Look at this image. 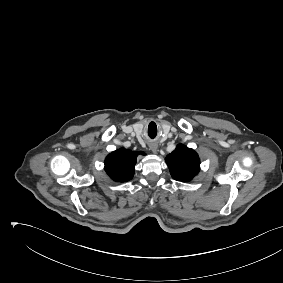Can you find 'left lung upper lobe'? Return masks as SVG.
<instances>
[{"label": "left lung upper lobe", "mask_w": 283, "mask_h": 283, "mask_svg": "<svg viewBox=\"0 0 283 283\" xmlns=\"http://www.w3.org/2000/svg\"><path fill=\"white\" fill-rule=\"evenodd\" d=\"M165 161L172 178L177 181H191L200 170L198 154L182 144L177 145L176 149L166 156Z\"/></svg>", "instance_id": "obj_1"}]
</instances>
